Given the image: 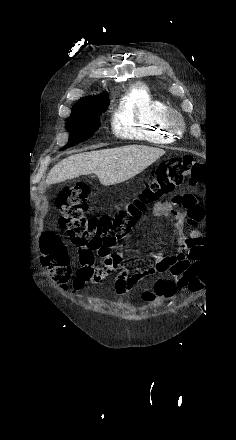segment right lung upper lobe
I'll list each match as a JSON object with an SVG mask.
<instances>
[{
  "mask_svg": "<svg viewBox=\"0 0 236 440\" xmlns=\"http://www.w3.org/2000/svg\"><path fill=\"white\" fill-rule=\"evenodd\" d=\"M105 96H107V94L106 93H103V94H101V95H99V96H95V97H87L86 99H81L79 102H81V101H87V100H93V99H100V98H103V97H105Z\"/></svg>",
  "mask_w": 236,
  "mask_h": 440,
  "instance_id": "right-lung-upper-lobe-1",
  "label": "right lung upper lobe"
}]
</instances>
